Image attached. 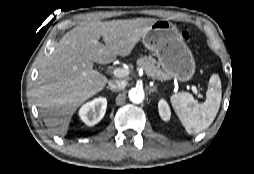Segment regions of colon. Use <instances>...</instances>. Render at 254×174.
Returning a JSON list of instances; mask_svg holds the SVG:
<instances>
[{
	"label": "colon",
	"mask_w": 254,
	"mask_h": 174,
	"mask_svg": "<svg viewBox=\"0 0 254 174\" xmlns=\"http://www.w3.org/2000/svg\"><path fill=\"white\" fill-rule=\"evenodd\" d=\"M182 36H183V38H184L185 40H189V38H190L189 33L186 32V31H184V32L182 33Z\"/></svg>",
	"instance_id": "colon-1"
}]
</instances>
